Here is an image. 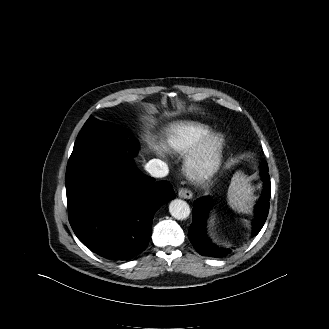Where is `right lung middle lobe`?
Here are the masks:
<instances>
[{"label": "right lung middle lobe", "mask_w": 329, "mask_h": 329, "mask_svg": "<svg viewBox=\"0 0 329 329\" xmlns=\"http://www.w3.org/2000/svg\"><path fill=\"white\" fill-rule=\"evenodd\" d=\"M126 135L127 132L121 127L90 116L78 135L67 167L100 150L111 149L125 152L129 149V152L134 155L139 143L135 140L126 141Z\"/></svg>", "instance_id": "right-lung-middle-lobe-1"}]
</instances>
